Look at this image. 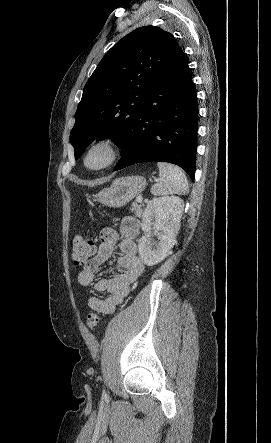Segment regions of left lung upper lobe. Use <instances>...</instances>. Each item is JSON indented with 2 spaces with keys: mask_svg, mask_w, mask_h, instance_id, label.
<instances>
[{
  "mask_svg": "<svg viewBox=\"0 0 271 443\" xmlns=\"http://www.w3.org/2000/svg\"><path fill=\"white\" fill-rule=\"evenodd\" d=\"M179 47L169 32L140 27L118 41L87 81L70 133L75 159L95 139L114 138L126 150L142 115L147 89L157 72Z\"/></svg>",
  "mask_w": 271,
  "mask_h": 443,
  "instance_id": "obj_1",
  "label": "left lung upper lobe"
}]
</instances>
